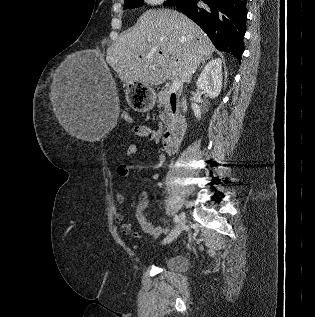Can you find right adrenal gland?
<instances>
[{"label": "right adrenal gland", "mask_w": 315, "mask_h": 317, "mask_svg": "<svg viewBox=\"0 0 315 317\" xmlns=\"http://www.w3.org/2000/svg\"><path fill=\"white\" fill-rule=\"evenodd\" d=\"M210 58H211V56H208V57L203 58V59L201 60L202 65H204L205 61L208 60V59H210Z\"/></svg>", "instance_id": "2a0ac1e0"}]
</instances>
